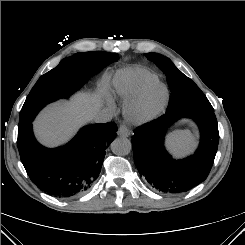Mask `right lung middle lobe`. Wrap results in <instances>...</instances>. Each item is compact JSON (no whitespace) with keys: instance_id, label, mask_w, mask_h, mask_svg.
I'll return each mask as SVG.
<instances>
[{"instance_id":"1","label":"right lung middle lobe","mask_w":245,"mask_h":245,"mask_svg":"<svg viewBox=\"0 0 245 245\" xmlns=\"http://www.w3.org/2000/svg\"><path fill=\"white\" fill-rule=\"evenodd\" d=\"M92 56L108 65L118 60L117 53L92 51L76 53L64 58L58 66L42 75L36 82L20 112L19 127L33 121L37 113L48 103L59 98H68L86 79L82 74V61Z\"/></svg>"}]
</instances>
